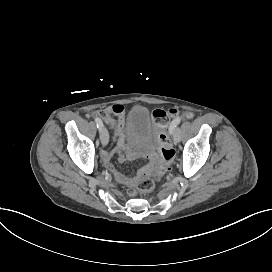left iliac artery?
<instances>
[{
	"label": "left iliac artery",
	"mask_w": 272,
	"mask_h": 272,
	"mask_svg": "<svg viewBox=\"0 0 272 272\" xmlns=\"http://www.w3.org/2000/svg\"><path fill=\"white\" fill-rule=\"evenodd\" d=\"M181 121V118L178 117L176 119H174L172 121V123L170 124V127H169V132L172 133L174 131V129L178 126V124L180 123Z\"/></svg>",
	"instance_id": "44dca946"
}]
</instances>
